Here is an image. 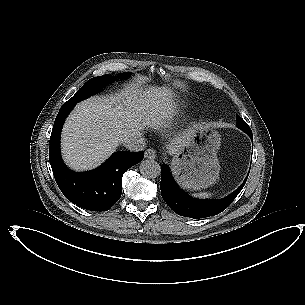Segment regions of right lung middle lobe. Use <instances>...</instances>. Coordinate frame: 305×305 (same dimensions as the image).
<instances>
[{
  "label": "right lung middle lobe",
  "mask_w": 305,
  "mask_h": 305,
  "mask_svg": "<svg viewBox=\"0 0 305 305\" xmlns=\"http://www.w3.org/2000/svg\"><path fill=\"white\" fill-rule=\"evenodd\" d=\"M126 76H127V74H123L121 77L124 78ZM113 79H114V76L112 77L110 75H102V76L94 77V78L88 80L79 89V91L71 99H69L67 101V103L75 105L76 103L99 92L106 84L112 82Z\"/></svg>",
  "instance_id": "obj_1"
}]
</instances>
